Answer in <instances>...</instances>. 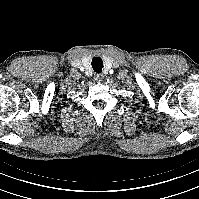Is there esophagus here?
Listing matches in <instances>:
<instances>
[{
    "mask_svg": "<svg viewBox=\"0 0 199 199\" xmlns=\"http://www.w3.org/2000/svg\"><path fill=\"white\" fill-rule=\"evenodd\" d=\"M94 79H95V81L96 82H98V83H101L102 81H103V79H104V75L103 74H96L95 76H94Z\"/></svg>",
    "mask_w": 199,
    "mask_h": 199,
    "instance_id": "1",
    "label": "esophagus"
}]
</instances>
